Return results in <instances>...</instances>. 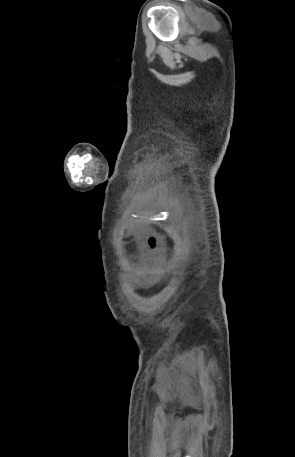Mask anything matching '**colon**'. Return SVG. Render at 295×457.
<instances>
[{
    "label": "colon",
    "mask_w": 295,
    "mask_h": 457,
    "mask_svg": "<svg viewBox=\"0 0 295 457\" xmlns=\"http://www.w3.org/2000/svg\"><path fill=\"white\" fill-rule=\"evenodd\" d=\"M159 246V238L157 236H151L148 239V247L152 252H155Z\"/></svg>",
    "instance_id": "1"
}]
</instances>
